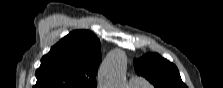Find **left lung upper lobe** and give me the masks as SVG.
<instances>
[{
    "mask_svg": "<svg viewBox=\"0 0 223 88\" xmlns=\"http://www.w3.org/2000/svg\"><path fill=\"white\" fill-rule=\"evenodd\" d=\"M137 74L149 80L155 88H187L177 67L158 54H146L134 60Z\"/></svg>",
    "mask_w": 223,
    "mask_h": 88,
    "instance_id": "left-lung-upper-lobe-1",
    "label": "left lung upper lobe"
}]
</instances>
